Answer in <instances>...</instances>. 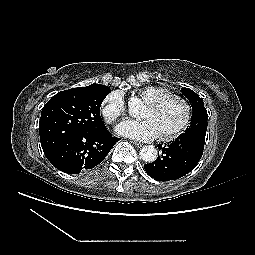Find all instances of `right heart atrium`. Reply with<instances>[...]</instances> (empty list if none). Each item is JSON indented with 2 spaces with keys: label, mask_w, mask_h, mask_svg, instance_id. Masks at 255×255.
<instances>
[{
  "label": "right heart atrium",
  "mask_w": 255,
  "mask_h": 255,
  "mask_svg": "<svg viewBox=\"0 0 255 255\" xmlns=\"http://www.w3.org/2000/svg\"><path fill=\"white\" fill-rule=\"evenodd\" d=\"M126 113V104L119 92H111L102 102L101 114L104 120L111 124Z\"/></svg>",
  "instance_id": "d8ad5b80"
}]
</instances>
